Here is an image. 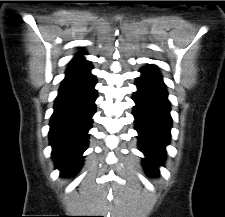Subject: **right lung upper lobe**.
<instances>
[{"instance_id":"obj_1","label":"right lung upper lobe","mask_w":225,"mask_h":217,"mask_svg":"<svg viewBox=\"0 0 225 217\" xmlns=\"http://www.w3.org/2000/svg\"><path fill=\"white\" fill-rule=\"evenodd\" d=\"M83 55L84 52L75 55L69 64L68 70L66 71V77L64 78L63 82L83 80L94 77L90 73L92 66L87 60L83 58Z\"/></svg>"}]
</instances>
